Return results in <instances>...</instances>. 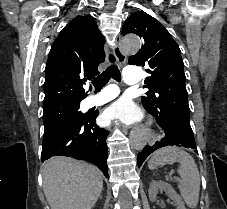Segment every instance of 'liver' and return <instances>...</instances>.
I'll list each match as a JSON object with an SVG mask.
<instances>
[{
  "label": "liver",
  "mask_w": 227,
  "mask_h": 209,
  "mask_svg": "<svg viewBox=\"0 0 227 209\" xmlns=\"http://www.w3.org/2000/svg\"><path fill=\"white\" fill-rule=\"evenodd\" d=\"M42 177L51 209H92L103 187L102 173L97 167L69 157L47 161Z\"/></svg>",
  "instance_id": "6515ba94"
}]
</instances>
